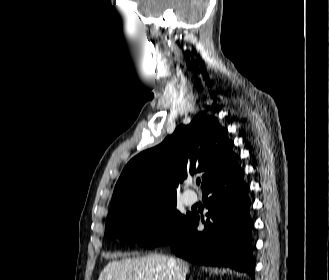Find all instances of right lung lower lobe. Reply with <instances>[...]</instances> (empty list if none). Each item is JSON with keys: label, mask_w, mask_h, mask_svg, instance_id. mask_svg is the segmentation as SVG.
<instances>
[{"label": "right lung lower lobe", "mask_w": 329, "mask_h": 280, "mask_svg": "<svg viewBox=\"0 0 329 280\" xmlns=\"http://www.w3.org/2000/svg\"><path fill=\"white\" fill-rule=\"evenodd\" d=\"M244 171L237 164L203 189L207 213L203 231L200 217L191 213L187 224L167 243L181 258L202 265L227 266L254 277L249 215L251 202ZM207 196L209 198L207 199Z\"/></svg>", "instance_id": "98d812e1"}]
</instances>
